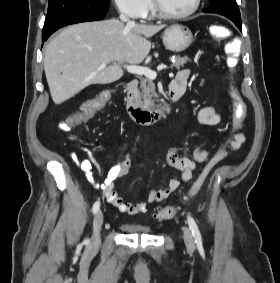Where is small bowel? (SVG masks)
I'll list each match as a JSON object with an SVG mask.
<instances>
[{
    "mask_svg": "<svg viewBox=\"0 0 280 283\" xmlns=\"http://www.w3.org/2000/svg\"><path fill=\"white\" fill-rule=\"evenodd\" d=\"M189 76L188 70L179 72L174 81L178 83L182 92L185 91L187 79ZM220 115L210 106L203 107L199 110L197 121L205 126H215L220 122ZM234 132L227 140L224 146L217 154H226L228 151H234L240 148L245 141V135L242 131V124L233 121ZM213 154L201 147H196L191 157L181 156L176 147H171L166 155L167 163L181 172L179 179L172 178L168 187L165 189L151 190L146 201L141 202H126L124 201L115 189L114 181L125 176L132 167V160L128 155H124L122 160L113 168L110 169L106 179L101 184H96L103 192V195L108 203L117 208L120 212L128 215L144 214L148 211L150 204L158 203L166 199L171 193L175 192L181 183H188L192 180L196 166L198 163L208 161ZM72 159L87 173L89 179L93 182L91 170L93 161L90 158L80 159L76 154H72Z\"/></svg>",
    "mask_w": 280,
    "mask_h": 283,
    "instance_id": "c3829d8e",
    "label": "small bowel"
}]
</instances>
